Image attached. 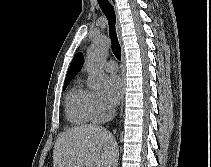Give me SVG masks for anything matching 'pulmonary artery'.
<instances>
[{
  "label": "pulmonary artery",
  "mask_w": 211,
  "mask_h": 167,
  "mask_svg": "<svg viewBox=\"0 0 211 167\" xmlns=\"http://www.w3.org/2000/svg\"><path fill=\"white\" fill-rule=\"evenodd\" d=\"M105 70L109 73H116L118 70V65L114 60H109L105 63Z\"/></svg>",
  "instance_id": "obj_1"
}]
</instances>
